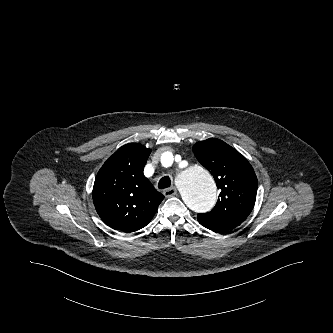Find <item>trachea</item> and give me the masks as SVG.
<instances>
[{"mask_svg": "<svg viewBox=\"0 0 333 333\" xmlns=\"http://www.w3.org/2000/svg\"><path fill=\"white\" fill-rule=\"evenodd\" d=\"M171 185V180L168 176H165L163 178L160 179L159 183H158V188L159 189H165L170 187Z\"/></svg>", "mask_w": 333, "mask_h": 333, "instance_id": "trachea-1", "label": "trachea"}]
</instances>
